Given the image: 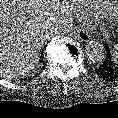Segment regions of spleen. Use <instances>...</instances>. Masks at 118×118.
Segmentation results:
<instances>
[{"mask_svg":"<svg viewBox=\"0 0 118 118\" xmlns=\"http://www.w3.org/2000/svg\"><path fill=\"white\" fill-rule=\"evenodd\" d=\"M113 54L115 56V59L118 60V44H116L114 47H113Z\"/></svg>","mask_w":118,"mask_h":118,"instance_id":"spleen-1","label":"spleen"}]
</instances>
